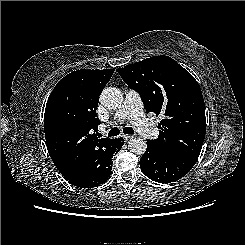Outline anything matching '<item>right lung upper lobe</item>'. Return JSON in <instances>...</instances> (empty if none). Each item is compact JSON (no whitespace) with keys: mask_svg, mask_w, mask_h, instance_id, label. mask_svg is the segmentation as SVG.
<instances>
[{"mask_svg":"<svg viewBox=\"0 0 245 245\" xmlns=\"http://www.w3.org/2000/svg\"><path fill=\"white\" fill-rule=\"evenodd\" d=\"M115 69L77 70L51 92L44 114L47 149L53 162L82 164L87 153L110 139L97 137L99 96Z\"/></svg>","mask_w":245,"mask_h":245,"instance_id":"cb5924a9","label":"right lung upper lobe"}]
</instances>
